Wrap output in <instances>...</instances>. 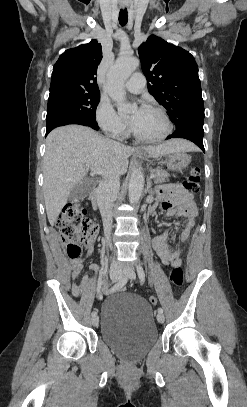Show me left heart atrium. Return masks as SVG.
<instances>
[{
	"label": "left heart atrium",
	"mask_w": 247,
	"mask_h": 407,
	"mask_svg": "<svg viewBox=\"0 0 247 407\" xmlns=\"http://www.w3.org/2000/svg\"><path fill=\"white\" fill-rule=\"evenodd\" d=\"M143 108L138 109L139 111H141ZM132 121V120H131Z\"/></svg>",
	"instance_id": "left-heart-atrium-1"
}]
</instances>
